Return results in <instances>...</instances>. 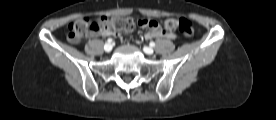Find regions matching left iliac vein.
I'll return each mask as SVG.
<instances>
[{"label": "left iliac vein", "instance_id": "left-iliac-vein-1", "mask_svg": "<svg viewBox=\"0 0 276 120\" xmlns=\"http://www.w3.org/2000/svg\"><path fill=\"white\" fill-rule=\"evenodd\" d=\"M143 50L148 55H152L154 53V50L151 47H144Z\"/></svg>", "mask_w": 276, "mask_h": 120}]
</instances>
